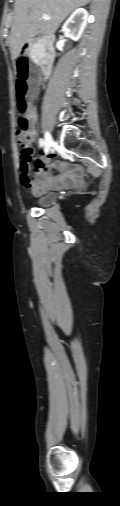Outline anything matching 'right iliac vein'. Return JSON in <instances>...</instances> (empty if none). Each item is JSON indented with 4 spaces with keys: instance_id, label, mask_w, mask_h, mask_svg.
I'll return each instance as SVG.
<instances>
[{
    "instance_id": "63e3f726",
    "label": "right iliac vein",
    "mask_w": 120,
    "mask_h": 506,
    "mask_svg": "<svg viewBox=\"0 0 120 506\" xmlns=\"http://www.w3.org/2000/svg\"><path fill=\"white\" fill-rule=\"evenodd\" d=\"M44 142H45V151L49 152V150H50V148H51V146L53 144V138H52V136H51V134L49 132L45 133V140H44Z\"/></svg>"
}]
</instances>
